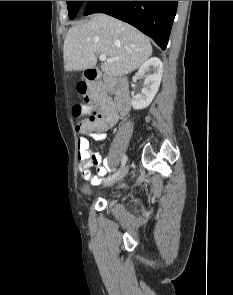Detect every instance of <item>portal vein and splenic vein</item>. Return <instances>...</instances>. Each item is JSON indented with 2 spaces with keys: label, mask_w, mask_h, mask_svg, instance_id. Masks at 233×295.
Wrapping results in <instances>:
<instances>
[{
  "label": "portal vein and splenic vein",
  "mask_w": 233,
  "mask_h": 295,
  "mask_svg": "<svg viewBox=\"0 0 233 295\" xmlns=\"http://www.w3.org/2000/svg\"><path fill=\"white\" fill-rule=\"evenodd\" d=\"M99 59L101 61H108V62L118 60V58H107V56L105 54H100Z\"/></svg>",
  "instance_id": "obj_1"
}]
</instances>
